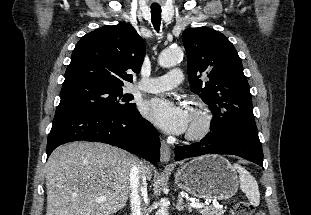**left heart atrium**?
<instances>
[{"label":"left heart atrium","mask_w":311,"mask_h":215,"mask_svg":"<svg viewBox=\"0 0 311 215\" xmlns=\"http://www.w3.org/2000/svg\"><path fill=\"white\" fill-rule=\"evenodd\" d=\"M142 110L148 119L169 134L185 132L190 122V112L187 108L163 97L147 101Z\"/></svg>","instance_id":"39dd6f15"}]
</instances>
